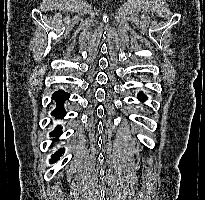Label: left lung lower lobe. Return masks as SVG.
Masks as SVG:
<instances>
[{"label":"left lung lower lobe","instance_id":"obj_1","mask_svg":"<svg viewBox=\"0 0 205 200\" xmlns=\"http://www.w3.org/2000/svg\"><path fill=\"white\" fill-rule=\"evenodd\" d=\"M146 97L143 95V94H139V99L141 100V101H144V99H145Z\"/></svg>","mask_w":205,"mask_h":200}]
</instances>
